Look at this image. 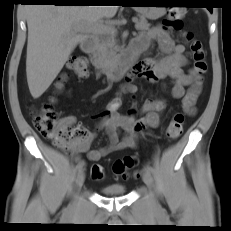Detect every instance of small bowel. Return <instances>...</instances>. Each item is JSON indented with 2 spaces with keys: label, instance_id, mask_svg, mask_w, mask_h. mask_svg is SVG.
<instances>
[{
  "label": "small bowel",
  "instance_id": "obj_1",
  "mask_svg": "<svg viewBox=\"0 0 231 231\" xmlns=\"http://www.w3.org/2000/svg\"><path fill=\"white\" fill-rule=\"evenodd\" d=\"M154 44L157 45L159 50L158 57L155 59L144 58L135 64L126 77V83L123 85L122 91L135 94L137 88L132 82L136 78H142L151 83L168 78L172 83V97L181 99L185 111L193 114L200 86L195 81L197 76L195 71L185 72L183 69L187 64L185 46L175 43L163 27L156 26L142 33L133 44L132 50H137L139 53L147 52ZM121 104V98L118 96L110 101L105 111L99 115L98 129L106 130L110 141L109 145L91 150L90 146L95 134L87 132L83 139L69 145V150L77 159H80V154L87 153L90 161H98L110 153L135 148L138 133L147 127H157L166 108V102L163 99L150 98L142 106L143 116L136 119L134 109L126 116L121 115L119 113ZM61 122L72 126L75 124L76 118L73 115H68L62 118Z\"/></svg>",
  "mask_w": 231,
  "mask_h": 231
}]
</instances>
